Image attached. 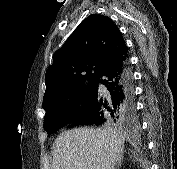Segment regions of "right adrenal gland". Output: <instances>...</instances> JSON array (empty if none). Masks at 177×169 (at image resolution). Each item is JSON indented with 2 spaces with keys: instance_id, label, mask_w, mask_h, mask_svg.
<instances>
[{
  "instance_id": "2a0ac1e0",
  "label": "right adrenal gland",
  "mask_w": 177,
  "mask_h": 169,
  "mask_svg": "<svg viewBox=\"0 0 177 169\" xmlns=\"http://www.w3.org/2000/svg\"><path fill=\"white\" fill-rule=\"evenodd\" d=\"M123 153V152H122ZM121 159L117 161L116 163V168L115 169H118L119 167H121L122 165V154L120 155Z\"/></svg>"
}]
</instances>
